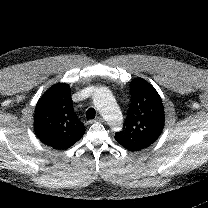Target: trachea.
<instances>
[{
	"label": "trachea",
	"instance_id": "3493384b",
	"mask_svg": "<svg viewBox=\"0 0 208 208\" xmlns=\"http://www.w3.org/2000/svg\"><path fill=\"white\" fill-rule=\"evenodd\" d=\"M96 116V111L94 108H89L86 112L87 120L94 119Z\"/></svg>",
	"mask_w": 208,
	"mask_h": 208
}]
</instances>
